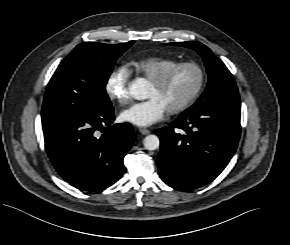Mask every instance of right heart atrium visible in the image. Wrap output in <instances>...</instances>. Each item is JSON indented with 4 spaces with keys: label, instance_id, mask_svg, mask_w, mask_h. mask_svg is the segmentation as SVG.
Here are the masks:
<instances>
[{
    "label": "right heart atrium",
    "instance_id": "obj_1",
    "mask_svg": "<svg viewBox=\"0 0 290 245\" xmlns=\"http://www.w3.org/2000/svg\"><path fill=\"white\" fill-rule=\"evenodd\" d=\"M130 73L126 67L114 69L106 81V92L110 99L119 105H127L131 101L129 94Z\"/></svg>",
    "mask_w": 290,
    "mask_h": 245
}]
</instances>
